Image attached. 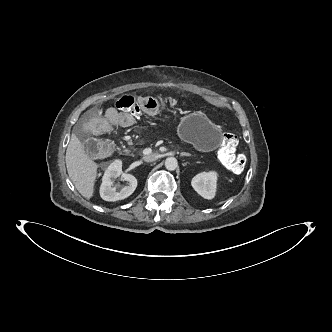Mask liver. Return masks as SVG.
<instances>
[{"mask_svg":"<svg viewBox=\"0 0 332 332\" xmlns=\"http://www.w3.org/2000/svg\"><path fill=\"white\" fill-rule=\"evenodd\" d=\"M68 175L79 193L89 199L93 196L98 165L86 154L84 147L75 135H71L66 150Z\"/></svg>","mask_w":332,"mask_h":332,"instance_id":"6515ba94","label":"liver"}]
</instances>
